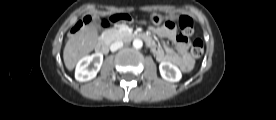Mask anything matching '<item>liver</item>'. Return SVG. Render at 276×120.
Listing matches in <instances>:
<instances>
[{"label": "liver", "mask_w": 276, "mask_h": 120, "mask_svg": "<svg viewBox=\"0 0 276 120\" xmlns=\"http://www.w3.org/2000/svg\"><path fill=\"white\" fill-rule=\"evenodd\" d=\"M97 38L93 24L83 26L77 33L69 36L63 52L64 63L68 70H73L77 62L94 49Z\"/></svg>", "instance_id": "1"}]
</instances>
